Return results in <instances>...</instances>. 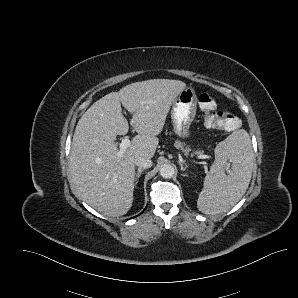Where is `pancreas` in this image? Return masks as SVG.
<instances>
[{"label": "pancreas", "instance_id": "obj_1", "mask_svg": "<svg viewBox=\"0 0 298 298\" xmlns=\"http://www.w3.org/2000/svg\"><path fill=\"white\" fill-rule=\"evenodd\" d=\"M174 147L178 150H181L184 155H188L191 151V148L184 142H181L180 140H175Z\"/></svg>", "mask_w": 298, "mask_h": 298}]
</instances>
